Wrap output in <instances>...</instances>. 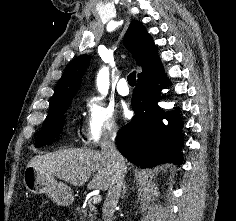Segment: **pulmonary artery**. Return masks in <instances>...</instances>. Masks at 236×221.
<instances>
[{
  "instance_id": "obj_1",
  "label": "pulmonary artery",
  "mask_w": 236,
  "mask_h": 221,
  "mask_svg": "<svg viewBox=\"0 0 236 221\" xmlns=\"http://www.w3.org/2000/svg\"><path fill=\"white\" fill-rule=\"evenodd\" d=\"M117 92L122 96H127L130 93V89L127 86V78H121L117 84Z\"/></svg>"
}]
</instances>
